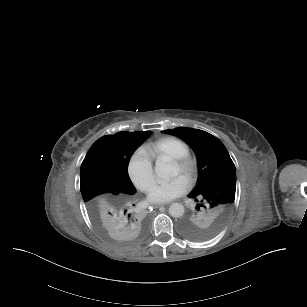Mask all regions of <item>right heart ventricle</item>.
I'll return each instance as SVG.
<instances>
[{
  "instance_id": "obj_1",
  "label": "right heart ventricle",
  "mask_w": 307,
  "mask_h": 307,
  "mask_svg": "<svg viewBox=\"0 0 307 307\" xmlns=\"http://www.w3.org/2000/svg\"><path fill=\"white\" fill-rule=\"evenodd\" d=\"M191 150V143L181 137L169 136L164 139L162 147L157 151L158 156L176 157Z\"/></svg>"
}]
</instances>
